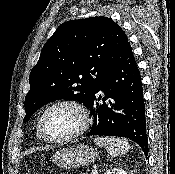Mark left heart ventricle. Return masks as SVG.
<instances>
[{"mask_svg": "<svg viewBox=\"0 0 175 174\" xmlns=\"http://www.w3.org/2000/svg\"><path fill=\"white\" fill-rule=\"evenodd\" d=\"M79 125L78 113L67 106L52 109L44 119V129L53 138L66 137L76 131Z\"/></svg>", "mask_w": 175, "mask_h": 174, "instance_id": "left-heart-ventricle-1", "label": "left heart ventricle"}]
</instances>
